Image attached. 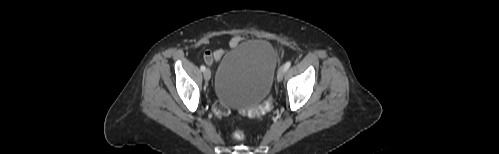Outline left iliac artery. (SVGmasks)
<instances>
[{
  "label": "left iliac artery",
  "mask_w": 499,
  "mask_h": 154,
  "mask_svg": "<svg viewBox=\"0 0 499 154\" xmlns=\"http://www.w3.org/2000/svg\"><path fill=\"white\" fill-rule=\"evenodd\" d=\"M290 66H291V61L286 62L284 65L285 71H287L290 68Z\"/></svg>",
  "instance_id": "44dca946"
}]
</instances>
